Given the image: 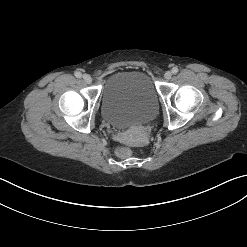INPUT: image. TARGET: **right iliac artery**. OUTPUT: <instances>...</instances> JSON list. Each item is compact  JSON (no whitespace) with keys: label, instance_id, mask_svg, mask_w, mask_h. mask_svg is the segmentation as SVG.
Returning a JSON list of instances; mask_svg holds the SVG:
<instances>
[{"label":"right iliac artery","instance_id":"1","mask_svg":"<svg viewBox=\"0 0 247 247\" xmlns=\"http://www.w3.org/2000/svg\"><path fill=\"white\" fill-rule=\"evenodd\" d=\"M75 76H76L77 78H81V77H82V74H81L80 72H75Z\"/></svg>","mask_w":247,"mask_h":247}]
</instances>
